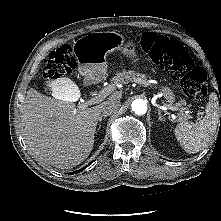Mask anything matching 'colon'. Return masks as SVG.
<instances>
[{"label":"colon","instance_id":"1","mask_svg":"<svg viewBox=\"0 0 221 221\" xmlns=\"http://www.w3.org/2000/svg\"><path fill=\"white\" fill-rule=\"evenodd\" d=\"M140 44L157 66L170 72L179 81L185 94L201 101L207 95L208 79L205 70L195 65L191 56L175 40L146 32L139 36ZM76 67L73 49L68 44L56 48L49 55L44 69L47 82L71 74Z\"/></svg>","mask_w":221,"mask_h":221}]
</instances>
